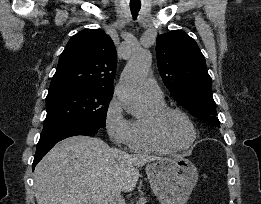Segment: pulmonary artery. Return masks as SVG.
Returning <instances> with one entry per match:
<instances>
[{"instance_id": "obj_1", "label": "pulmonary artery", "mask_w": 261, "mask_h": 204, "mask_svg": "<svg viewBox=\"0 0 261 204\" xmlns=\"http://www.w3.org/2000/svg\"><path fill=\"white\" fill-rule=\"evenodd\" d=\"M141 92L145 100L158 101L163 99V92L153 79H146L142 83Z\"/></svg>"}]
</instances>
